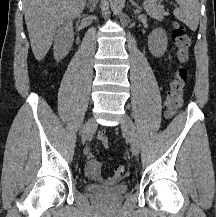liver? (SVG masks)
<instances>
[{"instance_id":"6515ba94","label":"liver","mask_w":216,"mask_h":217,"mask_svg":"<svg viewBox=\"0 0 216 217\" xmlns=\"http://www.w3.org/2000/svg\"><path fill=\"white\" fill-rule=\"evenodd\" d=\"M86 0H24L25 21L34 57L40 61L48 53L56 29L79 16Z\"/></svg>"}]
</instances>
